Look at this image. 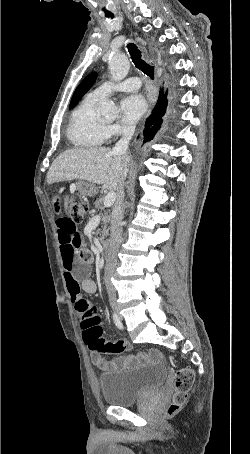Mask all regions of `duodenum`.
I'll use <instances>...</instances> for the list:
<instances>
[{"label": "duodenum", "mask_w": 250, "mask_h": 454, "mask_svg": "<svg viewBox=\"0 0 250 454\" xmlns=\"http://www.w3.org/2000/svg\"><path fill=\"white\" fill-rule=\"evenodd\" d=\"M102 246H103L104 256H105V258H108L109 254H110V251H111V242H110V240H108V239L103 240Z\"/></svg>", "instance_id": "obj_1"}]
</instances>
